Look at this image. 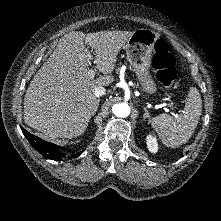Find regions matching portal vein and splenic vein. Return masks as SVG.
<instances>
[{
	"mask_svg": "<svg viewBox=\"0 0 221 221\" xmlns=\"http://www.w3.org/2000/svg\"><path fill=\"white\" fill-rule=\"evenodd\" d=\"M87 57H88V59H92V55H91V54H88ZM88 75H89L90 78H94V77H95V70L90 69V70L88 71ZM168 106H169V107H173V105H171V104H168ZM165 110H166V112H168V109H167V108H165Z\"/></svg>",
	"mask_w": 221,
	"mask_h": 221,
	"instance_id": "18ae733b",
	"label": "portal vein and splenic vein"
}]
</instances>
